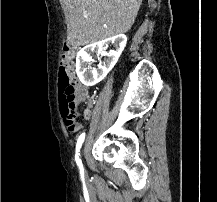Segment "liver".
Listing matches in <instances>:
<instances>
[{
    "instance_id": "1",
    "label": "liver",
    "mask_w": 217,
    "mask_h": 202,
    "mask_svg": "<svg viewBox=\"0 0 217 202\" xmlns=\"http://www.w3.org/2000/svg\"><path fill=\"white\" fill-rule=\"evenodd\" d=\"M68 46H86L130 30L142 0H60Z\"/></svg>"
}]
</instances>
